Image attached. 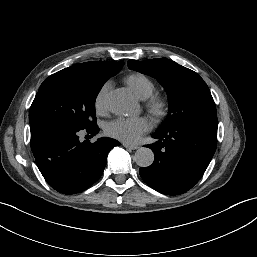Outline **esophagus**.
<instances>
[{
  "label": "esophagus",
  "mask_w": 257,
  "mask_h": 257,
  "mask_svg": "<svg viewBox=\"0 0 257 257\" xmlns=\"http://www.w3.org/2000/svg\"><path fill=\"white\" fill-rule=\"evenodd\" d=\"M123 146L127 149H130V150H136L139 148L138 145H131V144H127V143H123Z\"/></svg>",
  "instance_id": "1"
}]
</instances>
